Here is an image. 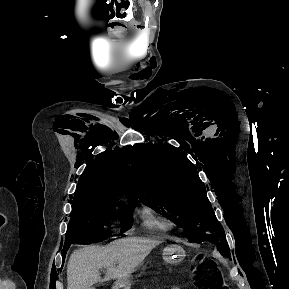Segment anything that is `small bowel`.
Here are the masks:
<instances>
[{"instance_id":"1","label":"small bowel","mask_w":289,"mask_h":289,"mask_svg":"<svg viewBox=\"0 0 289 289\" xmlns=\"http://www.w3.org/2000/svg\"><path fill=\"white\" fill-rule=\"evenodd\" d=\"M172 289H180V288H178V287H174V288H172Z\"/></svg>"}]
</instances>
